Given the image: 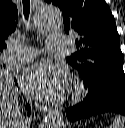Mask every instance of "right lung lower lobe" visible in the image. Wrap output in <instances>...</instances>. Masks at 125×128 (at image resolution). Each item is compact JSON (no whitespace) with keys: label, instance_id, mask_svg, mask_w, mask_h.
<instances>
[{"label":"right lung lower lobe","instance_id":"right-lung-lower-lobe-1","mask_svg":"<svg viewBox=\"0 0 125 128\" xmlns=\"http://www.w3.org/2000/svg\"><path fill=\"white\" fill-rule=\"evenodd\" d=\"M27 109H28V115H29L30 114V106L29 105H27Z\"/></svg>","mask_w":125,"mask_h":128}]
</instances>
